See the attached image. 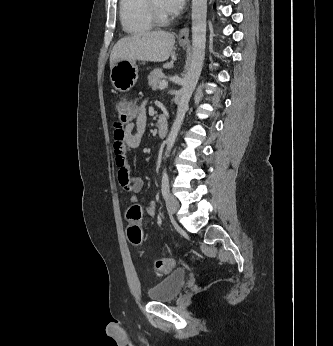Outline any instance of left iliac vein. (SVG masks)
Segmentation results:
<instances>
[{"instance_id": "left-iliac-vein-1", "label": "left iliac vein", "mask_w": 333, "mask_h": 346, "mask_svg": "<svg viewBox=\"0 0 333 346\" xmlns=\"http://www.w3.org/2000/svg\"><path fill=\"white\" fill-rule=\"evenodd\" d=\"M166 207L168 213L172 215L177 212L179 208V203L174 196L168 195V197L166 198Z\"/></svg>"}]
</instances>
